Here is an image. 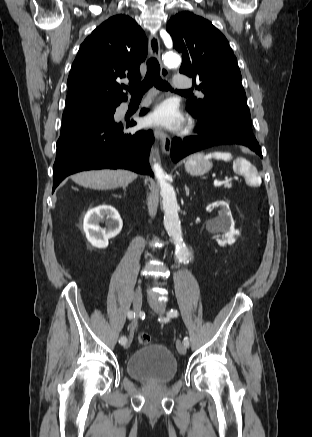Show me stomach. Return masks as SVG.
I'll list each match as a JSON object with an SVG mask.
<instances>
[{"instance_id":"obj_1","label":"stomach","mask_w":312,"mask_h":437,"mask_svg":"<svg viewBox=\"0 0 312 437\" xmlns=\"http://www.w3.org/2000/svg\"><path fill=\"white\" fill-rule=\"evenodd\" d=\"M212 168V162L201 153L191 155L185 162V170L192 176L206 174Z\"/></svg>"}]
</instances>
